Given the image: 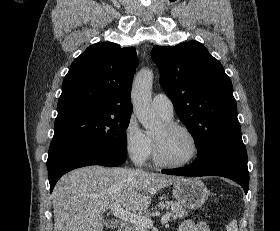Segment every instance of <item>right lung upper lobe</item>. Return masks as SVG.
Here are the masks:
<instances>
[{
	"label": "right lung upper lobe",
	"mask_w": 280,
	"mask_h": 231,
	"mask_svg": "<svg viewBox=\"0 0 280 231\" xmlns=\"http://www.w3.org/2000/svg\"><path fill=\"white\" fill-rule=\"evenodd\" d=\"M134 47L97 43L77 57L62 84L55 121L103 114H130V90L138 66Z\"/></svg>",
	"instance_id": "obj_1"
}]
</instances>
